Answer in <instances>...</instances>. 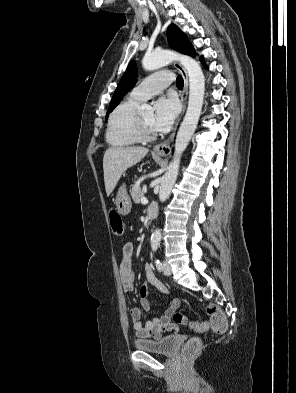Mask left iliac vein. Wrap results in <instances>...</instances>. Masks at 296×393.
<instances>
[{
  "label": "left iliac vein",
  "instance_id": "1",
  "mask_svg": "<svg viewBox=\"0 0 296 393\" xmlns=\"http://www.w3.org/2000/svg\"><path fill=\"white\" fill-rule=\"evenodd\" d=\"M163 266H164V274L169 276L172 274V268L170 266V264L166 261L163 262Z\"/></svg>",
  "mask_w": 296,
  "mask_h": 393
}]
</instances>
